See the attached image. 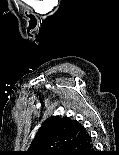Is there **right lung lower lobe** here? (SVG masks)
I'll return each mask as SVG.
<instances>
[{
  "label": "right lung lower lobe",
  "mask_w": 119,
  "mask_h": 155,
  "mask_svg": "<svg viewBox=\"0 0 119 155\" xmlns=\"http://www.w3.org/2000/svg\"><path fill=\"white\" fill-rule=\"evenodd\" d=\"M62 155H94L91 137L86 133L78 141L71 144Z\"/></svg>",
  "instance_id": "98d812e1"
}]
</instances>
